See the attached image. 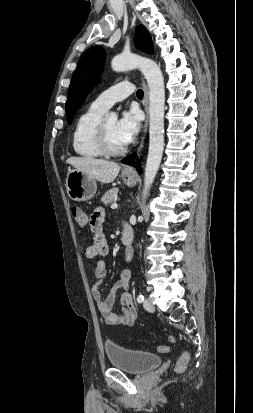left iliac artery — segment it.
<instances>
[{"label":"left iliac artery","mask_w":253,"mask_h":413,"mask_svg":"<svg viewBox=\"0 0 253 413\" xmlns=\"http://www.w3.org/2000/svg\"><path fill=\"white\" fill-rule=\"evenodd\" d=\"M144 296L142 295V293H139L138 297H137V301L138 303H142L144 301Z\"/></svg>","instance_id":"1"}]
</instances>
